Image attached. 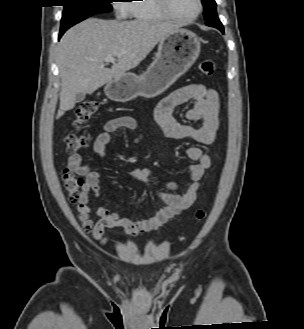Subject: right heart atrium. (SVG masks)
<instances>
[{"label":"right heart atrium","instance_id":"obj_1","mask_svg":"<svg viewBox=\"0 0 304 329\" xmlns=\"http://www.w3.org/2000/svg\"><path fill=\"white\" fill-rule=\"evenodd\" d=\"M114 9L116 12V15L119 18H124L129 14V8L128 3L125 2V0H116L114 1Z\"/></svg>","mask_w":304,"mask_h":329}]
</instances>
